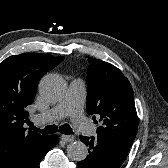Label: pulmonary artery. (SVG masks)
Segmentation results:
<instances>
[{"instance_id": "pulmonary-artery-1", "label": "pulmonary artery", "mask_w": 168, "mask_h": 168, "mask_svg": "<svg viewBox=\"0 0 168 168\" xmlns=\"http://www.w3.org/2000/svg\"><path fill=\"white\" fill-rule=\"evenodd\" d=\"M85 99V83L80 79H74L71 81L63 100L50 110L37 115L35 120L53 121L70 117L80 131L91 134L94 127L83 114Z\"/></svg>"}]
</instances>
